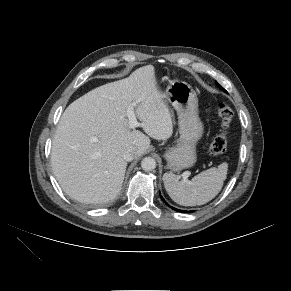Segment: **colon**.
Segmentation results:
<instances>
[{"mask_svg":"<svg viewBox=\"0 0 291 291\" xmlns=\"http://www.w3.org/2000/svg\"><path fill=\"white\" fill-rule=\"evenodd\" d=\"M218 115L221 121V132L216 135L210 143L209 153L211 155H220L226 152L228 148L227 131L233 120V110L224 101H220L217 105Z\"/></svg>","mask_w":291,"mask_h":291,"instance_id":"obj_1","label":"colon"}]
</instances>
